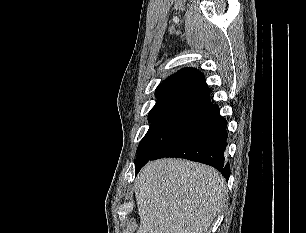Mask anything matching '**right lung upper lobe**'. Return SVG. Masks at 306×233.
Masks as SVG:
<instances>
[{"label":"right lung upper lobe","instance_id":"1","mask_svg":"<svg viewBox=\"0 0 306 233\" xmlns=\"http://www.w3.org/2000/svg\"><path fill=\"white\" fill-rule=\"evenodd\" d=\"M156 103L185 102L203 107L213 105L204 75L194 68H183L168 77L156 89Z\"/></svg>","mask_w":306,"mask_h":233}]
</instances>
